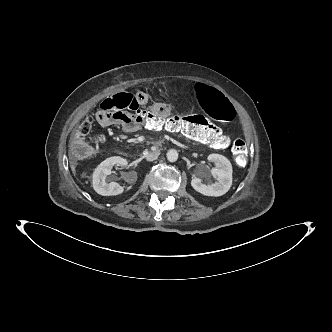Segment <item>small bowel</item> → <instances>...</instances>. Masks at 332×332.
I'll list each match as a JSON object with an SVG mask.
<instances>
[{
  "mask_svg": "<svg viewBox=\"0 0 332 332\" xmlns=\"http://www.w3.org/2000/svg\"><path fill=\"white\" fill-rule=\"evenodd\" d=\"M136 97L138 106L143 108L149 104L150 98L147 93L142 91L137 92ZM146 110H151L155 116L166 118L172 110V107L168 103L154 102L148 109H144V111ZM95 118L102 126L120 125L123 131L127 133H137L146 129L144 124H141V116L129 110H117L113 113L110 109H99L95 113Z\"/></svg>",
  "mask_w": 332,
  "mask_h": 332,
  "instance_id": "c3829d8e",
  "label": "small bowel"
}]
</instances>
